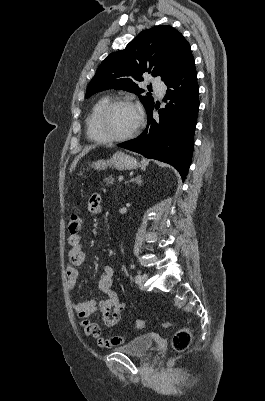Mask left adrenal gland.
Masks as SVG:
<instances>
[{
  "mask_svg": "<svg viewBox=\"0 0 265 401\" xmlns=\"http://www.w3.org/2000/svg\"><path fill=\"white\" fill-rule=\"evenodd\" d=\"M130 182H136V184H141V182H143L140 174H138V176H135V178H130Z\"/></svg>",
  "mask_w": 265,
  "mask_h": 401,
  "instance_id": "obj_1",
  "label": "left adrenal gland"
}]
</instances>
